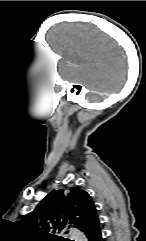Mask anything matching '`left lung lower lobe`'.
I'll return each instance as SVG.
<instances>
[{"mask_svg": "<svg viewBox=\"0 0 146 241\" xmlns=\"http://www.w3.org/2000/svg\"><path fill=\"white\" fill-rule=\"evenodd\" d=\"M99 225H100V221L98 219L94 223L84 228L83 232L88 238V241H101L102 234H101Z\"/></svg>", "mask_w": 146, "mask_h": 241, "instance_id": "left-lung-lower-lobe-1", "label": "left lung lower lobe"}]
</instances>
